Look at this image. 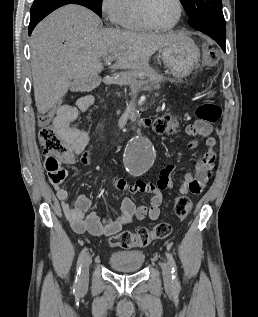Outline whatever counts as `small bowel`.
<instances>
[{
	"instance_id": "1",
	"label": "small bowel",
	"mask_w": 258,
	"mask_h": 317,
	"mask_svg": "<svg viewBox=\"0 0 258 317\" xmlns=\"http://www.w3.org/2000/svg\"><path fill=\"white\" fill-rule=\"evenodd\" d=\"M94 104V98L90 95L78 99L75 105H61L53 114V126L61 137L72 147L75 154H80L89 142V133L84 129L75 127L72 123L80 113L85 112ZM42 124V123H41ZM142 125L149 127L152 122L148 119L142 121ZM212 128L209 123L197 120L186 127L189 136H201L205 138L206 150L202 153L195 164L194 172H186L179 185V192L183 195L192 193L199 194L210 180L211 171L217 162V153L214 150L215 139L211 136ZM198 140L193 139L188 143L189 148H195ZM84 164L89 163L87 154L82 157ZM64 163H68L57 156H49L45 161L48 178L54 188L57 199L61 203L62 211L72 229L79 234L89 233L93 236H111L119 233L123 228L136 221L149 218L157 220L160 215L162 203V190L174 188L170 180L173 165H166L158 176L157 184L137 181L129 185L124 179L114 177L111 183L121 191L130 193H147L151 196L148 205L136 206L132 199L125 197L121 203V211L107 219H101L91 209V201L85 195H79L74 204L67 203L68 191L63 182L68 176Z\"/></svg>"
}]
</instances>
